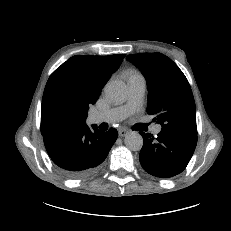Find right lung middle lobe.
Returning <instances> with one entry per match:
<instances>
[{"label":"right lung middle lobe","instance_id":"dd1d6c3e","mask_svg":"<svg viewBox=\"0 0 231 231\" xmlns=\"http://www.w3.org/2000/svg\"><path fill=\"white\" fill-rule=\"evenodd\" d=\"M95 101L80 94L65 74H51L44 89L41 134L68 130L84 124Z\"/></svg>","mask_w":231,"mask_h":231}]
</instances>
